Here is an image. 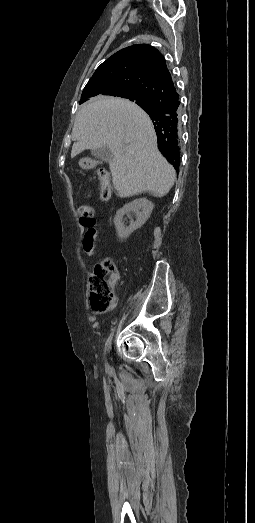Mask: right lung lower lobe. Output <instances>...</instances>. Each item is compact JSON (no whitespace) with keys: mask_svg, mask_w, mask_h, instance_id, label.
I'll list each match as a JSON object with an SVG mask.
<instances>
[{"mask_svg":"<svg viewBox=\"0 0 255 523\" xmlns=\"http://www.w3.org/2000/svg\"><path fill=\"white\" fill-rule=\"evenodd\" d=\"M178 109H179V104L177 102L165 103V104H162L160 107H157L156 109H154L152 111V116L154 118H159L164 113L174 112V111H177ZM178 170H179V167H178Z\"/></svg>","mask_w":255,"mask_h":523,"instance_id":"1","label":"right lung lower lobe"}]
</instances>
